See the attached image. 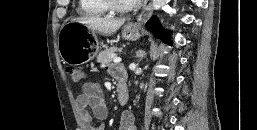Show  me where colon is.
<instances>
[{
	"label": "colon",
	"instance_id": "5ec220e1",
	"mask_svg": "<svg viewBox=\"0 0 257 130\" xmlns=\"http://www.w3.org/2000/svg\"><path fill=\"white\" fill-rule=\"evenodd\" d=\"M67 73L69 74L71 79L76 83H80L85 79V72L81 68L69 67L67 69Z\"/></svg>",
	"mask_w": 257,
	"mask_h": 130
}]
</instances>
